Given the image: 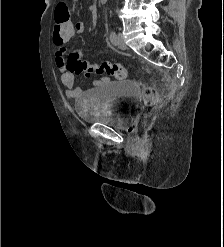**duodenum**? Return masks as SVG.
<instances>
[{"mask_svg":"<svg viewBox=\"0 0 224 247\" xmlns=\"http://www.w3.org/2000/svg\"><path fill=\"white\" fill-rule=\"evenodd\" d=\"M100 2H101L102 4H104V3L106 2V0H100Z\"/></svg>","mask_w":224,"mask_h":247,"instance_id":"410a0bca","label":"duodenum"}]
</instances>
